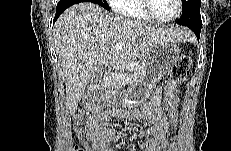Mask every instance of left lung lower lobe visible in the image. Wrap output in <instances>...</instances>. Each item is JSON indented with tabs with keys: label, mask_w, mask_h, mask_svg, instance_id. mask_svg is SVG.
I'll list each match as a JSON object with an SVG mask.
<instances>
[{
	"label": "left lung lower lobe",
	"mask_w": 231,
	"mask_h": 151,
	"mask_svg": "<svg viewBox=\"0 0 231 151\" xmlns=\"http://www.w3.org/2000/svg\"><path fill=\"white\" fill-rule=\"evenodd\" d=\"M202 26H190L189 28L196 34L197 39L199 40L200 32Z\"/></svg>",
	"instance_id": "1"
}]
</instances>
